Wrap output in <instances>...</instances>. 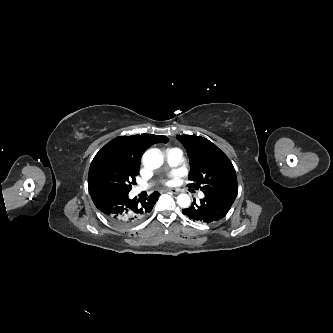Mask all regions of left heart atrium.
<instances>
[{
  "instance_id": "1",
  "label": "left heart atrium",
  "mask_w": 333,
  "mask_h": 333,
  "mask_svg": "<svg viewBox=\"0 0 333 333\" xmlns=\"http://www.w3.org/2000/svg\"><path fill=\"white\" fill-rule=\"evenodd\" d=\"M172 182H173V180H172V179H169L168 181H166V184H167V185H171Z\"/></svg>"
}]
</instances>
